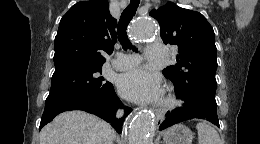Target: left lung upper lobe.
I'll return each instance as SVG.
<instances>
[{"label": "left lung upper lobe", "mask_w": 260, "mask_h": 144, "mask_svg": "<svg viewBox=\"0 0 260 144\" xmlns=\"http://www.w3.org/2000/svg\"><path fill=\"white\" fill-rule=\"evenodd\" d=\"M150 16L160 25L165 44L176 45V65L162 72L175 84L176 95L192 105L196 100L216 102L217 49L214 31L205 17L173 2L153 9Z\"/></svg>", "instance_id": "left-lung-upper-lobe-1"}]
</instances>
